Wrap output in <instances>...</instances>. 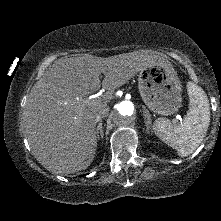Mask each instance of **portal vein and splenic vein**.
<instances>
[{"mask_svg":"<svg viewBox=\"0 0 221 221\" xmlns=\"http://www.w3.org/2000/svg\"><path fill=\"white\" fill-rule=\"evenodd\" d=\"M99 101H100L99 97L90 96V97L84 99L82 102L85 105H94V104H97ZM179 120H181V119L179 118Z\"/></svg>","mask_w":221,"mask_h":221,"instance_id":"obj_1","label":"portal vein and splenic vein"}]
</instances>
